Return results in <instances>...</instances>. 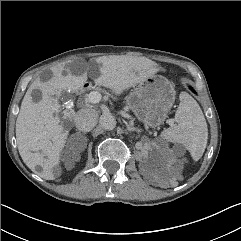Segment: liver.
Wrapping results in <instances>:
<instances>
[{
	"label": "liver",
	"instance_id": "6515ba94",
	"mask_svg": "<svg viewBox=\"0 0 241 241\" xmlns=\"http://www.w3.org/2000/svg\"><path fill=\"white\" fill-rule=\"evenodd\" d=\"M71 62L55 68L53 78L47 82L36 79L28 88L16 120V139L23 162L44 179H54L52 168L59 163L60 152L68 131L54 116L60 105L54 95L62 91L77 92L87 81V72L73 75L67 67ZM98 65L100 75L94 79L98 85L112 89L116 94L142 83L158 70L145 58L111 56L97 57L88 66ZM87 68V65H86ZM63 71L67 74L63 75ZM35 90L41 92V100L33 102ZM41 167L42 171H36Z\"/></svg>",
	"mask_w": 241,
	"mask_h": 241
}]
</instances>
